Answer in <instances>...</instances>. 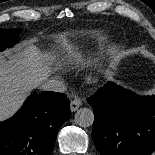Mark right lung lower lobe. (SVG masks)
<instances>
[{
  "mask_svg": "<svg viewBox=\"0 0 155 155\" xmlns=\"http://www.w3.org/2000/svg\"><path fill=\"white\" fill-rule=\"evenodd\" d=\"M69 118L70 102L63 93L30 95L11 119L0 122V155H50Z\"/></svg>",
  "mask_w": 155,
  "mask_h": 155,
  "instance_id": "right-lung-lower-lobe-1",
  "label": "right lung lower lobe"
}]
</instances>
